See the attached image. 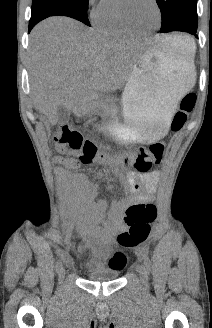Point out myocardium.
I'll return each mask as SVG.
<instances>
[{
    "label": "myocardium",
    "mask_w": 212,
    "mask_h": 328,
    "mask_svg": "<svg viewBox=\"0 0 212 328\" xmlns=\"http://www.w3.org/2000/svg\"><path fill=\"white\" fill-rule=\"evenodd\" d=\"M127 2V0H120L119 2V6H118V10H119V15H120V18H121V21L123 22L124 26L130 30L131 32L135 33V34H140V35H143V34H149L155 30H157L160 26H161V23H162V11H161V7L158 3L157 0H151V2L153 3L156 11H157V14H158V23L155 27L151 28V29H147V30H142V29H139L137 27H135L129 17H128V14H127V11H126V7H125V3Z\"/></svg>",
    "instance_id": "f54148a6"
}]
</instances>
